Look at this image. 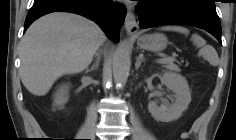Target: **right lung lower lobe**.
I'll list each match as a JSON object with an SVG mask.
<instances>
[{
    "label": "right lung lower lobe",
    "mask_w": 236,
    "mask_h": 140,
    "mask_svg": "<svg viewBox=\"0 0 236 140\" xmlns=\"http://www.w3.org/2000/svg\"><path fill=\"white\" fill-rule=\"evenodd\" d=\"M59 11L80 14L95 21L114 42L119 41V30L126 15L125 7L112 0H35L27 14L24 32L36 19Z\"/></svg>",
    "instance_id": "98d812e1"
}]
</instances>
